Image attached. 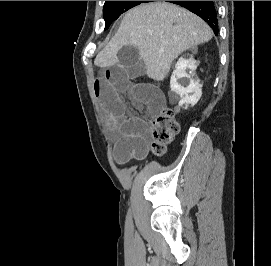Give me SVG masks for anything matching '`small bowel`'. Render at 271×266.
Segmentation results:
<instances>
[{
	"mask_svg": "<svg viewBox=\"0 0 271 266\" xmlns=\"http://www.w3.org/2000/svg\"><path fill=\"white\" fill-rule=\"evenodd\" d=\"M144 64L133 55L123 62L106 66L94 82V91L104 119L115 138V160L123 164L146 155L148 139L146 123L139 117L127 116L122 95H127L135 107L158 112L165 101L160 89L149 83L133 80L145 73Z\"/></svg>",
	"mask_w": 271,
	"mask_h": 266,
	"instance_id": "1",
	"label": "small bowel"
}]
</instances>
